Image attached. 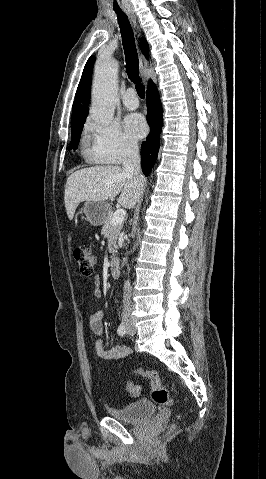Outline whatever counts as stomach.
<instances>
[{
  "label": "stomach",
  "mask_w": 266,
  "mask_h": 479,
  "mask_svg": "<svg viewBox=\"0 0 266 479\" xmlns=\"http://www.w3.org/2000/svg\"><path fill=\"white\" fill-rule=\"evenodd\" d=\"M110 205L104 201H86L80 213L92 225H101L110 213Z\"/></svg>",
  "instance_id": "1"
}]
</instances>
